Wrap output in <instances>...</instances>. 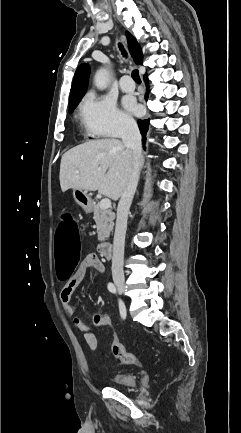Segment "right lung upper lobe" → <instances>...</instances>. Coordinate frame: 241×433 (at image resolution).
<instances>
[{"label":"right lung upper lobe","instance_id":"right-lung-upper-lobe-1","mask_svg":"<svg viewBox=\"0 0 241 433\" xmlns=\"http://www.w3.org/2000/svg\"><path fill=\"white\" fill-rule=\"evenodd\" d=\"M126 36L129 50L134 61L137 64H142L143 54L140 45L129 32H126ZM89 73L90 69L88 64H81L77 68L70 91L69 108L79 103L84 96L88 86Z\"/></svg>","mask_w":241,"mask_h":433}]
</instances>
